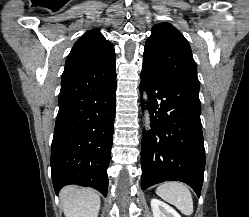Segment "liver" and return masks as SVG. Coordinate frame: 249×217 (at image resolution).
I'll return each mask as SVG.
<instances>
[{"label": "liver", "instance_id": "obj_1", "mask_svg": "<svg viewBox=\"0 0 249 217\" xmlns=\"http://www.w3.org/2000/svg\"><path fill=\"white\" fill-rule=\"evenodd\" d=\"M65 217H98L100 196L90 188L66 186L60 192Z\"/></svg>", "mask_w": 249, "mask_h": 217}]
</instances>
